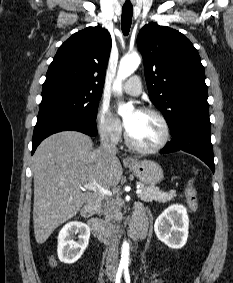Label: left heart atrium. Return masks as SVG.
<instances>
[{
	"instance_id": "left-heart-atrium-1",
	"label": "left heart atrium",
	"mask_w": 233,
	"mask_h": 283,
	"mask_svg": "<svg viewBox=\"0 0 233 283\" xmlns=\"http://www.w3.org/2000/svg\"><path fill=\"white\" fill-rule=\"evenodd\" d=\"M135 112H139L138 110H136ZM125 126H126V129H128V127H129V122H125Z\"/></svg>"
}]
</instances>
